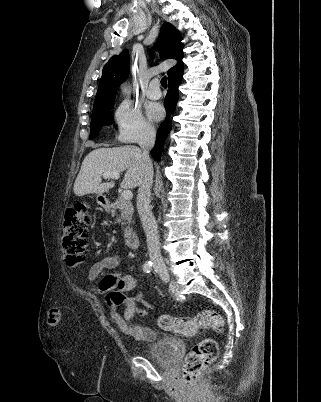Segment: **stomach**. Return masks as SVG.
<instances>
[{"label": "stomach", "instance_id": "obj_1", "mask_svg": "<svg viewBox=\"0 0 321 402\" xmlns=\"http://www.w3.org/2000/svg\"><path fill=\"white\" fill-rule=\"evenodd\" d=\"M98 203L101 205L102 204V200L99 199V197L97 198Z\"/></svg>", "mask_w": 321, "mask_h": 402}]
</instances>
